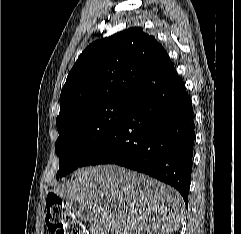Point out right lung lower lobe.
<instances>
[{"label":"right lung lower lobe","instance_id":"right-lung-lower-lobe-1","mask_svg":"<svg viewBox=\"0 0 241 234\" xmlns=\"http://www.w3.org/2000/svg\"><path fill=\"white\" fill-rule=\"evenodd\" d=\"M195 125L191 99L173 68L131 103L115 130L81 164H117L176 188L188 205Z\"/></svg>","mask_w":241,"mask_h":234}]
</instances>
